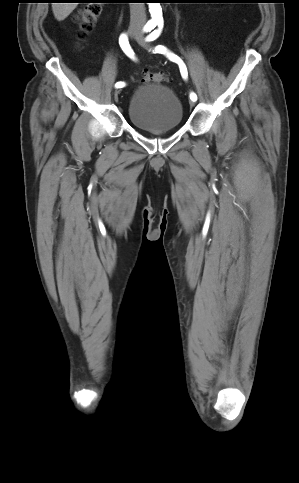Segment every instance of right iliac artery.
Segmentation results:
<instances>
[{
  "label": "right iliac artery",
  "mask_w": 299,
  "mask_h": 483,
  "mask_svg": "<svg viewBox=\"0 0 299 483\" xmlns=\"http://www.w3.org/2000/svg\"><path fill=\"white\" fill-rule=\"evenodd\" d=\"M156 27V23H151V24H148L144 27V31L145 32H150L152 29H154ZM119 44H120V47L122 48V50L124 51V53L130 57L131 59L135 60V55H134V51L131 49V46L129 44V41H128V38L126 36V34H122L119 38ZM125 86V83L120 81V82H117L115 84V87L116 88H122Z\"/></svg>",
  "instance_id": "obj_1"
}]
</instances>
